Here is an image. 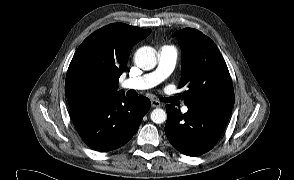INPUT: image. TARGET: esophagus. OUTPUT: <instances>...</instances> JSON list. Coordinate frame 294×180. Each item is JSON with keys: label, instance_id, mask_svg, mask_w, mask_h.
Masks as SVG:
<instances>
[{"label": "esophagus", "instance_id": "1", "mask_svg": "<svg viewBox=\"0 0 294 180\" xmlns=\"http://www.w3.org/2000/svg\"><path fill=\"white\" fill-rule=\"evenodd\" d=\"M151 106L153 108L160 107L161 103L158 100H151Z\"/></svg>", "mask_w": 294, "mask_h": 180}]
</instances>
